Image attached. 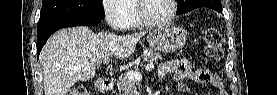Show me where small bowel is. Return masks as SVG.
<instances>
[{
  "label": "small bowel",
  "instance_id": "obj_1",
  "mask_svg": "<svg viewBox=\"0 0 277 95\" xmlns=\"http://www.w3.org/2000/svg\"><path fill=\"white\" fill-rule=\"evenodd\" d=\"M157 71L159 77L172 75L177 82L187 78L197 83L213 85L219 89V94H226L220 77L205 69L193 70L186 58L167 60L159 65ZM178 88L182 94H187L185 85L179 84Z\"/></svg>",
  "mask_w": 277,
  "mask_h": 95
}]
</instances>
